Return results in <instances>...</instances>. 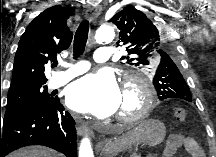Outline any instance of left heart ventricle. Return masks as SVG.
<instances>
[{"mask_svg":"<svg viewBox=\"0 0 216 157\" xmlns=\"http://www.w3.org/2000/svg\"><path fill=\"white\" fill-rule=\"evenodd\" d=\"M139 106V100L137 95L133 91L123 93L122 102L117 110V115L129 114L135 111Z\"/></svg>","mask_w":216,"mask_h":157,"instance_id":"obj_1","label":"left heart ventricle"}]
</instances>
